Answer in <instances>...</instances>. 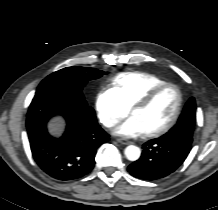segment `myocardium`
I'll list each match as a JSON object with an SVG mask.
<instances>
[{"label":"myocardium","instance_id":"myocardium-1","mask_svg":"<svg viewBox=\"0 0 218 210\" xmlns=\"http://www.w3.org/2000/svg\"><path fill=\"white\" fill-rule=\"evenodd\" d=\"M172 87L176 90L177 93V105L175 108V111L172 115V117L170 118V120L161 128L156 129L154 131H150V132H146L145 136L146 137H159L165 133H167L169 130H171L174 125L176 124V122L178 121L181 111H182V107H183V93L180 89V87L175 84V83H171V82H165L161 85L156 86L155 88H153L152 90H150L148 93H146L142 98H140L131 108V113H133V111L137 108H143V107H147L148 105H150L154 99L166 88Z\"/></svg>","mask_w":218,"mask_h":210}]
</instances>
